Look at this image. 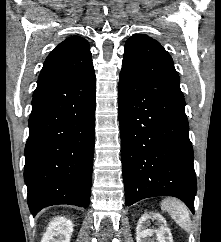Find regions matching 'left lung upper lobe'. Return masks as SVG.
<instances>
[{"label": "left lung upper lobe", "mask_w": 221, "mask_h": 242, "mask_svg": "<svg viewBox=\"0 0 221 242\" xmlns=\"http://www.w3.org/2000/svg\"><path fill=\"white\" fill-rule=\"evenodd\" d=\"M122 67L156 89L184 97L171 56L146 35H134L127 40Z\"/></svg>", "instance_id": "1"}]
</instances>
